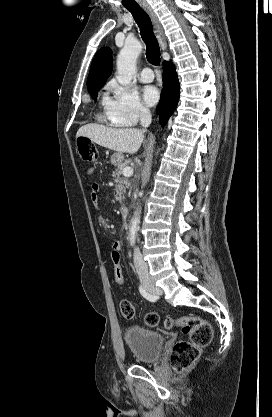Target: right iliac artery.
Here are the masks:
<instances>
[{
  "instance_id": "1",
  "label": "right iliac artery",
  "mask_w": 272,
  "mask_h": 417,
  "mask_svg": "<svg viewBox=\"0 0 272 417\" xmlns=\"http://www.w3.org/2000/svg\"><path fill=\"white\" fill-rule=\"evenodd\" d=\"M139 291L141 293V295L146 298L147 300L151 301V302H155L157 300V297L153 294H150L149 292L146 291V289L140 285L139 286Z\"/></svg>"
}]
</instances>
